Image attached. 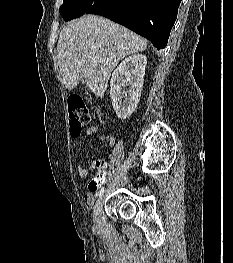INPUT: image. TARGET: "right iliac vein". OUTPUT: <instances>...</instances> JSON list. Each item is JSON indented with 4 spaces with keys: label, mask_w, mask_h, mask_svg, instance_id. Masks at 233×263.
Instances as JSON below:
<instances>
[{
    "label": "right iliac vein",
    "mask_w": 233,
    "mask_h": 263,
    "mask_svg": "<svg viewBox=\"0 0 233 263\" xmlns=\"http://www.w3.org/2000/svg\"><path fill=\"white\" fill-rule=\"evenodd\" d=\"M103 202L104 198L103 196H100L93 210L94 223L98 226H100L103 222Z\"/></svg>",
    "instance_id": "1"
}]
</instances>
